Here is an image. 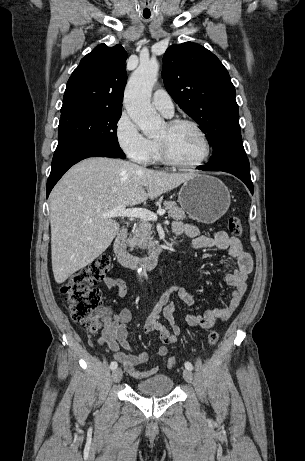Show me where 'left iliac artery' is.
Wrapping results in <instances>:
<instances>
[{"label": "left iliac artery", "instance_id": "44dca946", "mask_svg": "<svg viewBox=\"0 0 305 461\" xmlns=\"http://www.w3.org/2000/svg\"><path fill=\"white\" fill-rule=\"evenodd\" d=\"M185 368L189 369V370H192L193 366H192V364L190 362L187 361V362H185Z\"/></svg>", "mask_w": 305, "mask_h": 461}]
</instances>
